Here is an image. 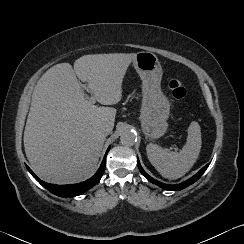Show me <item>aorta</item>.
Listing matches in <instances>:
<instances>
[{"label":"aorta","instance_id":"762f6f07","mask_svg":"<svg viewBox=\"0 0 244 244\" xmlns=\"http://www.w3.org/2000/svg\"><path fill=\"white\" fill-rule=\"evenodd\" d=\"M136 138H137L136 133L133 130L127 129L121 133L120 143L123 146L130 147L135 144Z\"/></svg>","mask_w":244,"mask_h":244}]
</instances>
